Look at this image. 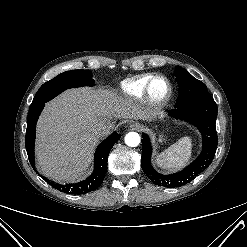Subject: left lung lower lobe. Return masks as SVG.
Listing matches in <instances>:
<instances>
[{"instance_id": "0a47b994", "label": "left lung lower lobe", "mask_w": 247, "mask_h": 247, "mask_svg": "<svg viewBox=\"0 0 247 247\" xmlns=\"http://www.w3.org/2000/svg\"><path fill=\"white\" fill-rule=\"evenodd\" d=\"M217 112L213 99L196 101L168 111L169 116L196 126L203 138V149L199 157L184 170L175 174L163 175L154 170L150 161L152 148L149 138L146 134L142 135L141 167L154 184L169 188L180 187L189 183L211 164L218 144L215 126Z\"/></svg>"}]
</instances>
